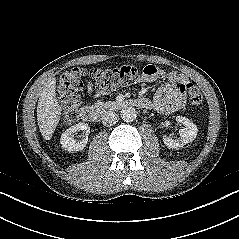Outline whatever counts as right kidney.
Listing matches in <instances>:
<instances>
[{
    "label": "right kidney",
    "instance_id": "right-kidney-1",
    "mask_svg": "<svg viewBox=\"0 0 239 239\" xmlns=\"http://www.w3.org/2000/svg\"><path fill=\"white\" fill-rule=\"evenodd\" d=\"M89 126L86 123H78L71 127H69L60 138V143L62 147L69 152L81 151L86 147L88 141V134L90 132ZM83 130L85 134L82 136V139L78 142L72 137V135L77 132Z\"/></svg>",
    "mask_w": 239,
    "mask_h": 239
}]
</instances>
